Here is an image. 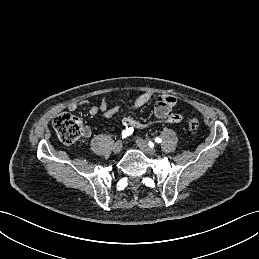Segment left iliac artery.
<instances>
[{"instance_id": "left-iliac-artery-1", "label": "left iliac artery", "mask_w": 259, "mask_h": 259, "mask_svg": "<svg viewBox=\"0 0 259 259\" xmlns=\"http://www.w3.org/2000/svg\"><path fill=\"white\" fill-rule=\"evenodd\" d=\"M161 141H162L161 138H159V137H156V138H155V142L160 143ZM149 146H150V147H153V143H152V142H149Z\"/></svg>"}]
</instances>
